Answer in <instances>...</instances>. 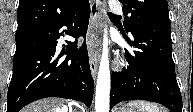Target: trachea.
<instances>
[{
  "label": "trachea",
  "instance_id": "obj_1",
  "mask_svg": "<svg viewBox=\"0 0 193 112\" xmlns=\"http://www.w3.org/2000/svg\"><path fill=\"white\" fill-rule=\"evenodd\" d=\"M108 14H109L110 16H112V17H116V18H118V16H116V15H114V14L110 13V12H108Z\"/></svg>",
  "mask_w": 193,
  "mask_h": 112
}]
</instances>
